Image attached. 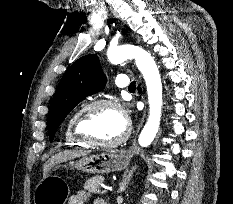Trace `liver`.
Segmentation results:
<instances>
[{
  "instance_id": "liver-1",
  "label": "liver",
  "mask_w": 233,
  "mask_h": 204,
  "mask_svg": "<svg viewBox=\"0 0 233 204\" xmlns=\"http://www.w3.org/2000/svg\"><path fill=\"white\" fill-rule=\"evenodd\" d=\"M89 152L82 150H66L53 155L43 166V176L45 177L49 170L61 162H65L80 156H86Z\"/></svg>"
}]
</instances>
